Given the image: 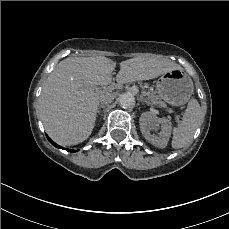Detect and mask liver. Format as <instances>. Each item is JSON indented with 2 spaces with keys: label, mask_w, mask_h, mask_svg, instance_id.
<instances>
[{
  "label": "liver",
  "mask_w": 229,
  "mask_h": 229,
  "mask_svg": "<svg viewBox=\"0 0 229 229\" xmlns=\"http://www.w3.org/2000/svg\"><path fill=\"white\" fill-rule=\"evenodd\" d=\"M117 64L120 71L112 89H122L125 84L152 80L173 69H182L175 62L149 57L120 63L105 56L61 60L44 83L36 104L45 131L55 143L72 146L90 137L101 100L111 103L116 98L106 86Z\"/></svg>",
  "instance_id": "1"
}]
</instances>
